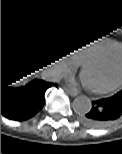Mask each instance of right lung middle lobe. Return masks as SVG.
<instances>
[{"label": "right lung middle lobe", "mask_w": 122, "mask_h": 154, "mask_svg": "<svg viewBox=\"0 0 122 154\" xmlns=\"http://www.w3.org/2000/svg\"><path fill=\"white\" fill-rule=\"evenodd\" d=\"M29 29L39 37V40L43 47L42 49L45 50V43L49 39V34L47 30L45 29V27L41 24H30Z\"/></svg>", "instance_id": "1"}]
</instances>
